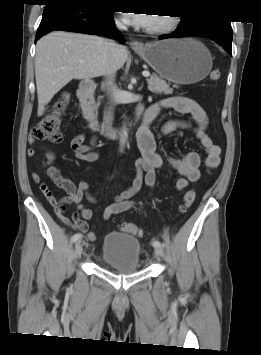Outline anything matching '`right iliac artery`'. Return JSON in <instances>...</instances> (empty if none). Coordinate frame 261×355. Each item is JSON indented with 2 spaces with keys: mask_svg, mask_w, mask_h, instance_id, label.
Listing matches in <instances>:
<instances>
[{
  "mask_svg": "<svg viewBox=\"0 0 261 355\" xmlns=\"http://www.w3.org/2000/svg\"><path fill=\"white\" fill-rule=\"evenodd\" d=\"M83 236H82V234L81 233H76V234H74L73 236H72V242H76V241H78L79 239H81Z\"/></svg>",
  "mask_w": 261,
  "mask_h": 355,
  "instance_id": "right-iliac-artery-1",
  "label": "right iliac artery"
}]
</instances>
